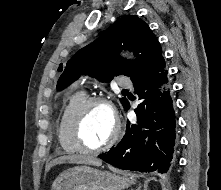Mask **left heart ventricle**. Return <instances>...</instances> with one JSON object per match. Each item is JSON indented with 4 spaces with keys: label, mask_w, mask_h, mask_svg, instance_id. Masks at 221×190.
<instances>
[{
    "label": "left heart ventricle",
    "mask_w": 221,
    "mask_h": 190,
    "mask_svg": "<svg viewBox=\"0 0 221 190\" xmlns=\"http://www.w3.org/2000/svg\"><path fill=\"white\" fill-rule=\"evenodd\" d=\"M114 130V117L105 105H94L84 117L82 136L86 145L97 147L108 141Z\"/></svg>",
    "instance_id": "left-heart-ventricle-1"
}]
</instances>
